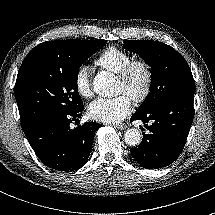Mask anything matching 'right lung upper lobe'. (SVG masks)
Segmentation results:
<instances>
[{"instance_id":"obj_1","label":"right lung upper lobe","mask_w":215,"mask_h":215,"mask_svg":"<svg viewBox=\"0 0 215 215\" xmlns=\"http://www.w3.org/2000/svg\"><path fill=\"white\" fill-rule=\"evenodd\" d=\"M53 42L56 41H47L44 43H41L39 45H37L35 48H33L25 57L23 63L35 58L41 51H43L44 48H46L48 45L52 44Z\"/></svg>"}]
</instances>
